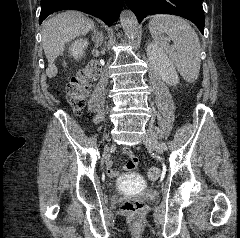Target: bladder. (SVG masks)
<instances>
[{"label":"bladder","mask_w":240,"mask_h":238,"mask_svg":"<svg viewBox=\"0 0 240 238\" xmlns=\"http://www.w3.org/2000/svg\"><path fill=\"white\" fill-rule=\"evenodd\" d=\"M135 185H137L136 182H134V181H129V182L125 185V187H126V188H130V187H134Z\"/></svg>","instance_id":"bladder-1"}]
</instances>
